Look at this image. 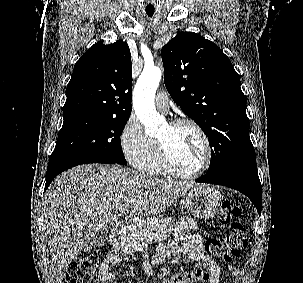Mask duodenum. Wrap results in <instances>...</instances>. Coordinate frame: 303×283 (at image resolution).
I'll use <instances>...</instances> for the list:
<instances>
[{"mask_svg":"<svg viewBox=\"0 0 303 283\" xmlns=\"http://www.w3.org/2000/svg\"><path fill=\"white\" fill-rule=\"evenodd\" d=\"M126 226H127V223L124 221L117 224L111 234L112 240H117L120 237H122L125 232Z\"/></svg>","mask_w":303,"mask_h":283,"instance_id":"duodenum-1","label":"duodenum"}]
</instances>
